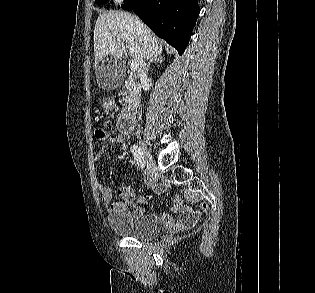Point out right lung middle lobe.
<instances>
[{
	"mask_svg": "<svg viewBox=\"0 0 315 293\" xmlns=\"http://www.w3.org/2000/svg\"><path fill=\"white\" fill-rule=\"evenodd\" d=\"M95 2H96L97 4H105V3L108 2V0H95Z\"/></svg>",
	"mask_w": 315,
	"mask_h": 293,
	"instance_id": "1",
	"label": "right lung middle lobe"
}]
</instances>
